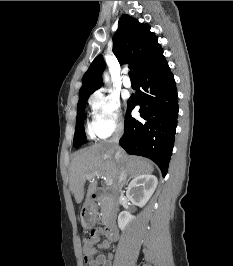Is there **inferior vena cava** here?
Instances as JSON below:
<instances>
[{
	"label": "inferior vena cava",
	"instance_id": "inferior-vena-cava-1",
	"mask_svg": "<svg viewBox=\"0 0 233 266\" xmlns=\"http://www.w3.org/2000/svg\"><path fill=\"white\" fill-rule=\"evenodd\" d=\"M123 134V126H118L115 134L113 135V137L110 140V143L114 145L116 152H115V158L117 160H119L121 158V148L119 147V140L121 138ZM126 177H127V173L126 170H121L120 175H119V182H118V186H119V191H121L123 185L125 184L126 181Z\"/></svg>",
	"mask_w": 233,
	"mask_h": 266
}]
</instances>
